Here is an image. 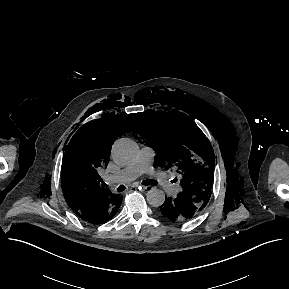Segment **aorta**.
<instances>
[{
  "label": "aorta",
  "mask_w": 289,
  "mask_h": 289,
  "mask_svg": "<svg viewBox=\"0 0 289 289\" xmlns=\"http://www.w3.org/2000/svg\"><path fill=\"white\" fill-rule=\"evenodd\" d=\"M139 152L135 141L128 138L118 139L112 146V157L119 164H128L136 159ZM165 201V194L158 188H151L147 192V202L153 207L161 206Z\"/></svg>",
  "instance_id": "1"
}]
</instances>
